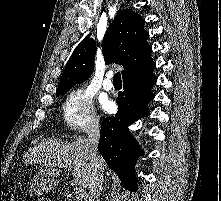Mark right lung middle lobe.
Listing matches in <instances>:
<instances>
[{
    "mask_svg": "<svg viewBox=\"0 0 221 201\" xmlns=\"http://www.w3.org/2000/svg\"><path fill=\"white\" fill-rule=\"evenodd\" d=\"M65 93H66V91H65V92H61V93H57V94H56V97L62 96V95H64Z\"/></svg>",
    "mask_w": 221,
    "mask_h": 201,
    "instance_id": "obj_1",
    "label": "right lung middle lobe"
}]
</instances>
